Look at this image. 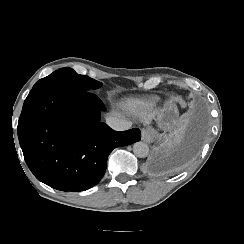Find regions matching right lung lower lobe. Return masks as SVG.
<instances>
[{"mask_svg":"<svg viewBox=\"0 0 244 244\" xmlns=\"http://www.w3.org/2000/svg\"><path fill=\"white\" fill-rule=\"evenodd\" d=\"M102 101L92 92L41 87L27 96L17 132L35 177L61 191H84L103 177L116 147L141 139L138 128L112 130L100 121Z\"/></svg>","mask_w":244,"mask_h":244,"instance_id":"right-lung-lower-lobe-1","label":"right lung lower lobe"}]
</instances>
